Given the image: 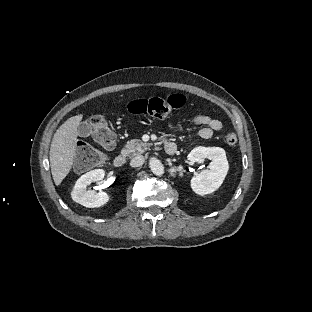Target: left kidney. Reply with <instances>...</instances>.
<instances>
[{
	"mask_svg": "<svg viewBox=\"0 0 312 312\" xmlns=\"http://www.w3.org/2000/svg\"><path fill=\"white\" fill-rule=\"evenodd\" d=\"M188 159L194 163L211 160L207 170L191 179V189L195 194L205 196L221 187L229 171V163L222 148L196 147L189 153Z\"/></svg>",
	"mask_w": 312,
	"mask_h": 312,
	"instance_id": "obj_1",
	"label": "left kidney"
}]
</instances>
